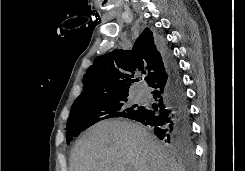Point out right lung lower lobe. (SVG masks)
Instances as JSON below:
<instances>
[{
  "instance_id": "right-lung-lower-lobe-1",
  "label": "right lung lower lobe",
  "mask_w": 245,
  "mask_h": 171,
  "mask_svg": "<svg viewBox=\"0 0 245 171\" xmlns=\"http://www.w3.org/2000/svg\"><path fill=\"white\" fill-rule=\"evenodd\" d=\"M166 65V75L152 84L156 103L141 106L133 120L150 126L155 135L174 147H190L189 106L176 60L164 42L158 43Z\"/></svg>"
}]
</instances>
